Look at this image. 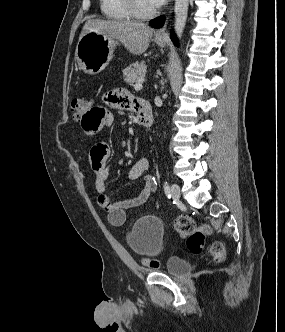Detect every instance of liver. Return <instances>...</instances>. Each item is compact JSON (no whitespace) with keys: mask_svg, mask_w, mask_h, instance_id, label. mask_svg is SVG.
Segmentation results:
<instances>
[{"mask_svg":"<svg viewBox=\"0 0 285 332\" xmlns=\"http://www.w3.org/2000/svg\"><path fill=\"white\" fill-rule=\"evenodd\" d=\"M90 31L120 41L134 55H141L147 50L153 35V29L148 25L134 21L89 19L80 38Z\"/></svg>","mask_w":285,"mask_h":332,"instance_id":"obj_1","label":"liver"}]
</instances>
